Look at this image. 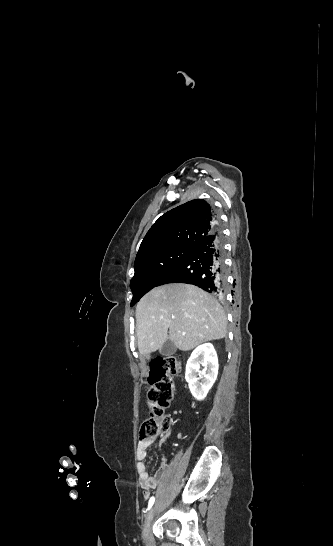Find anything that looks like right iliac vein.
Wrapping results in <instances>:
<instances>
[{"label":"right iliac vein","instance_id":"1","mask_svg":"<svg viewBox=\"0 0 333 546\" xmlns=\"http://www.w3.org/2000/svg\"><path fill=\"white\" fill-rule=\"evenodd\" d=\"M155 511H156V508H155V506H153L146 515V519H145L143 530H142V538L144 540H146L147 537H148L149 528H150V525H151L152 520L154 518Z\"/></svg>","mask_w":333,"mask_h":546}]
</instances>
